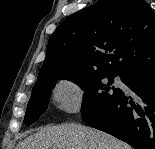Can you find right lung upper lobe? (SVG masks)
I'll list each match as a JSON object with an SVG mask.
<instances>
[{
    "mask_svg": "<svg viewBox=\"0 0 155 149\" xmlns=\"http://www.w3.org/2000/svg\"><path fill=\"white\" fill-rule=\"evenodd\" d=\"M155 67V14L143 0H100L50 37L37 82L67 71L124 76Z\"/></svg>",
    "mask_w": 155,
    "mask_h": 149,
    "instance_id": "obj_1",
    "label": "right lung upper lobe"
}]
</instances>
